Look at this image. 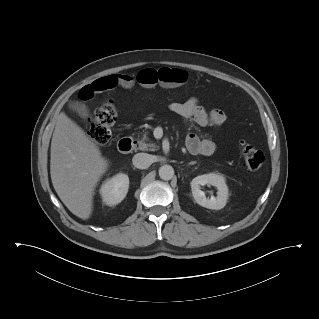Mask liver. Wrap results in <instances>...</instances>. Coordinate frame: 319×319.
Returning a JSON list of instances; mask_svg holds the SVG:
<instances>
[{
	"label": "liver",
	"mask_w": 319,
	"mask_h": 319,
	"mask_svg": "<svg viewBox=\"0 0 319 319\" xmlns=\"http://www.w3.org/2000/svg\"><path fill=\"white\" fill-rule=\"evenodd\" d=\"M50 158L52 184L59 198L74 215L88 219L94 189L108 168L97 143L65 113H60Z\"/></svg>",
	"instance_id": "6515ba94"
}]
</instances>
